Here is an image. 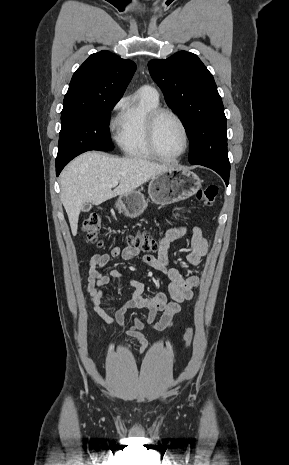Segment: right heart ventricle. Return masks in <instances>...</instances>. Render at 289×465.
<instances>
[{
    "mask_svg": "<svg viewBox=\"0 0 289 465\" xmlns=\"http://www.w3.org/2000/svg\"><path fill=\"white\" fill-rule=\"evenodd\" d=\"M159 107L158 95L141 88L134 99L127 102L118 121L117 143L129 157L154 159L146 135L148 115Z\"/></svg>",
    "mask_w": 289,
    "mask_h": 465,
    "instance_id": "obj_1",
    "label": "right heart ventricle"
}]
</instances>
